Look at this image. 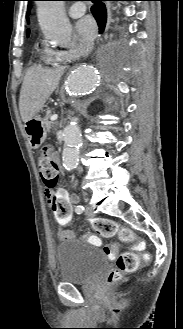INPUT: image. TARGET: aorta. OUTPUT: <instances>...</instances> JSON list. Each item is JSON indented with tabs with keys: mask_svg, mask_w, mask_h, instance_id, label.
<instances>
[{
	"mask_svg": "<svg viewBox=\"0 0 183 329\" xmlns=\"http://www.w3.org/2000/svg\"><path fill=\"white\" fill-rule=\"evenodd\" d=\"M37 14L43 34L61 46H68L71 41L72 28L64 12L63 1H38ZM101 64L97 62L82 64L74 69L66 83L70 97L93 92L101 77ZM64 149L63 164L66 169L76 168L79 148L82 143L81 130L76 118L70 119L63 129Z\"/></svg>",
	"mask_w": 183,
	"mask_h": 329,
	"instance_id": "762f6f07",
	"label": "aorta"
}]
</instances>
